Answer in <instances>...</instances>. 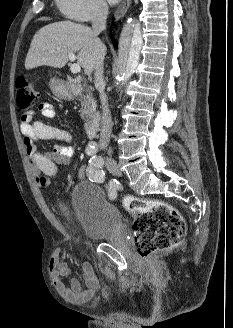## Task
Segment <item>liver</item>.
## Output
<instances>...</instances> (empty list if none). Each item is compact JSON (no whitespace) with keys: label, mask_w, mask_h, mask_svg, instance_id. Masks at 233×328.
Listing matches in <instances>:
<instances>
[{"label":"liver","mask_w":233,"mask_h":328,"mask_svg":"<svg viewBox=\"0 0 233 328\" xmlns=\"http://www.w3.org/2000/svg\"><path fill=\"white\" fill-rule=\"evenodd\" d=\"M77 53V63L89 75L106 46L90 27L72 21H59L41 28L33 37L25 59V68L43 65L62 68L69 60L68 53Z\"/></svg>","instance_id":"liver-1"}]
</instances>
